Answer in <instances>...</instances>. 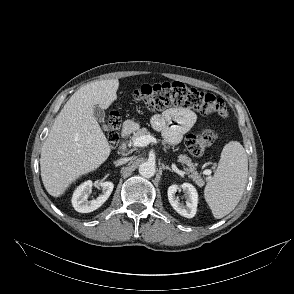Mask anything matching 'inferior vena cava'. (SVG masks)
I'll use <instances>...</instances> for the list:
<instances>
[{"label":"inferior vena cava","instance_id":"1","mask_svg":"<svg viewBox=\"0 0 294 294\" xmlns=\"http://www.w3.org/2000/svg\"><path fill=\"white\" fill-rule=\"evenodd\" d=\"M129 158H121L119 160L116 161L117 164H125L129 161Z\"/></svg>","mask_w":294,"mask_h":294}]
</instances>
